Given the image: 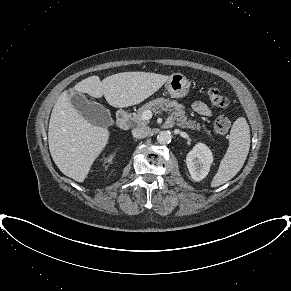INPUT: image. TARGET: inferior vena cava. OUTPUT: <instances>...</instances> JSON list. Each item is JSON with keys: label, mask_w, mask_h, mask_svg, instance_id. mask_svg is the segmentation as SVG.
<instances>
[{"label": "inferior vena cava", "mask_w": 291, "mask_h": 291, "mask_svg": "<svg viewBox=\"0 0 291 291\" xmlns=\"http://www.w3.org/2000/svg\"><path fill=\"white\" fill-rule=\"evenodd\" d=\"M151 134V128L148 126L137 127L132 130V135L135 138L141 139L146 138Z\"/></svg>", "instance_id": "obj_1"}]
</instances>
